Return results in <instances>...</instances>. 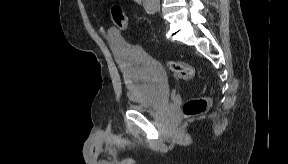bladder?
<instances>
[{
	"label": "bladder",
	"instance_id": "obj_1",
	"mask_svg": "<svg viewBox=\"0 0 288 164\" xmlns=\"http://www.w3.org/2000/svg\"><path fill=\"white\" fill-rule=\"evenodd\" d=\"M109 43L126 82L130 107L140 113H154L171 97L170 85L161 64L141 49L111 34Z\"/></svg>",
	"mask_w": 288,
	"mask_h": 164
}]
</instances>
